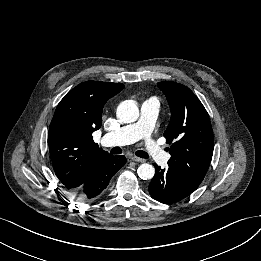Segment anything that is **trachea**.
I'll return each instance as SVG.
<instances>
[{"mask_svg":"<svg viewBox=\"0 0 261 261\" xmlns=\"http://www.w3.org/2000/svg\"><path fill=\"white\" fill-rule=\"evenodd\" d=\"M122 152V150L119 148V147H114L112 150H111V153L112 154H120ZM135 154L138 156V157H141V158H149V155L148 153L142 151V150H139V151H136Z\"/></svg>","mask_w":261,"mask_h":261,"instance_id":"trachea-1","label":"trachea"}]
</instances>
